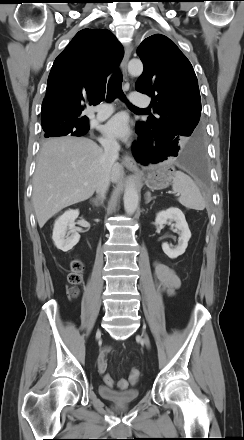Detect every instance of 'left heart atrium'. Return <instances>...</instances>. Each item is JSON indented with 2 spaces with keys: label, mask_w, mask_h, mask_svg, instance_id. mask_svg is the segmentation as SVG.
<instances>
[{
  "label": "left heart atrium",
  "mask_w": 244,
  "mask_h": 440,
  "mask_svg": "<svg viewBox=\"0 0 244 440\" xmlns=\"http://www.w3.org/2000/svg\"><path fill=\"white\" fill-rule=\"evenodd\" d=\"M102 131L112 139L127 140L130 136L127 116L122 113L114 115L102 126Z\"/></svg>",
  "instance_id": "1"
}]
</instances>
